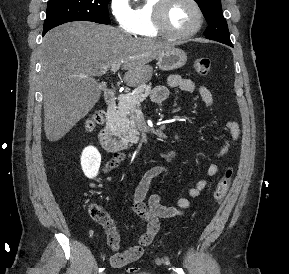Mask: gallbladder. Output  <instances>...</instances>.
<instances>
[{
  "instance_id": "obj_1",
  "label": "gallbladder",
  "mask_w": 289,
  "mask_h": 274,
  "mask_svg": "<svg viewBox=\"0 0 289 274\" xmlns=\"http://www.w3.org/2000/svg\"><path fill=\"white\" fill-rule=\"evenodd\" d=\"M100 86H101V88H103V87H104V85H103L102 83L100 84Z\"/></svg>"
}]
</instances>
